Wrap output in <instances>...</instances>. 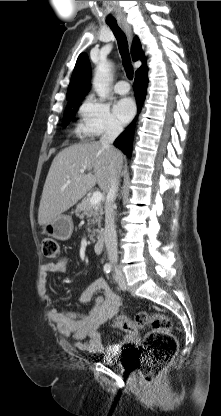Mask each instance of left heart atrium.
I'll use <instances>...</instances> for the list:
<instances>
[{"instance_id": "1", "label": "left heart atrium", "mask_w": 221, "mask_h": 416, "mask_svg": "<svg viewBox=\"0 0 221 416\" xmlns=\"http://www.w3.org/2000/svg\"><path fill=\"white\" fill-rule=\"evenodd\" d=\"M135 104L130 98H122L114 105V112L122 123H128L135 114Z\"/></svg>"}]
</instances>
